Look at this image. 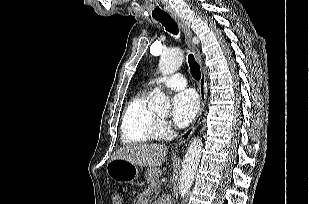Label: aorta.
Returning a JSON list of instances; mask_svg holds the SVG:
<instances>
[{"mask_svg": "<svg viewBox=\"0 0 309 204\" xmlns=\"http://www.w3.org/2000/svg\"><path fill=\"white\" fill-rule=\"evenodd\" d=\"M184 60L183 52L178 48L166 50L162 53L159 61V70L163 75H170L176 72ZM149 109L155 112H167L170 109V103L159 88L153 91V96L149 102ZM202 151V141L194 138L186 151L182 173L180 177L179 193L185 197L189 192L200 161Z\"/></svg>", "mask_w": 309, "mask_h": 204, "instance_id": "1", "label": "aorta"}]
</instances>
